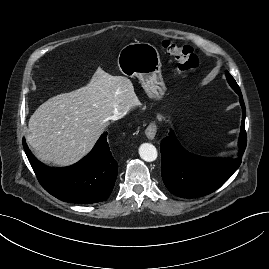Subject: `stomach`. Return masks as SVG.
I'll return each mask as SVG.
<instances>
[{"label": "stomach", "instance_id": "stomach-1", "mask_svg": "<svg viewBox=\"0 0 269 269\" xmlns=\"http://www.w3.org/2000/svg\"><path fill=\"white\" fill-rule=\"evenodd\" d=\"M117 64L126 76H136L150 97L164 95L166 87L161 75L160 56L152 44L136 42L124 46L118 54Z\"/></svg>", "mask_w": 269, "mask_h": 269}]
</instances>
